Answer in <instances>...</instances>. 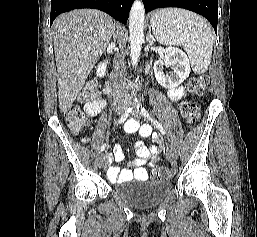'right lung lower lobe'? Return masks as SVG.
Returning <instances> with one entry per match:
<instances>
[{
	"mask_svg": "<svg viewBox=\"0 0 257 237\" xmlns=\"http://www.w3.org/2000/svg\"><path fill=\"white\" fill-rule=\"evenodd\" d=\"M134 0H52L50 25L61 13L81 8L102 10L114 19L126 24L131 5Z\"/></svg>",
	"mask_w": 257,
	"mask_h": 237,
	"instance_id": "1",
	"label": "right lung lower lobe"
}]
</instances>
